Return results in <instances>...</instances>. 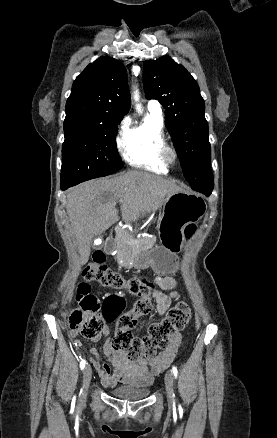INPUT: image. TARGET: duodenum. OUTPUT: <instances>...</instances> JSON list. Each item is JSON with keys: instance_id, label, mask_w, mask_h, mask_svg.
<instances>
[{"instance_id": "obj_1", "label": "duodenum", "mask_w": 277, "mask_h": 438, "mask_svg": "<svg viewBox=\"0 0 277 438\" xmlns=\"http://www.w3.org/2000/svg\"><path fill=\"white\" fill-rule=\"evenodd\" d=\"M104 249H105L106 253L112 254L116 249V242L113 239L108 238L105 241Z\"/></svg>"}]
</instances>
